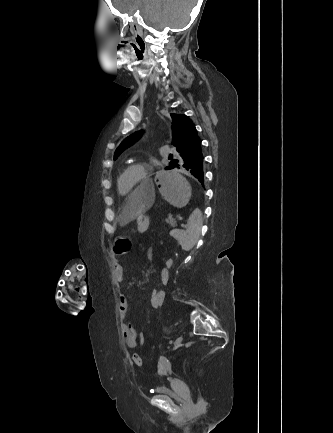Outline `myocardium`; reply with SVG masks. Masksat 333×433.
Returning <instances> with one entry per match:
<instances>
[{
  "label": "myocardium",
  "mask_w": 333,
  "mask_h": 433,
  "mask_svg": "<svg viewBox=\"0 0 333 433\" xmlns=\"http://www.w3.org/2000/svg\"><path fill=\"white\" fill-rule=\"evenodd\" d=\"M131 171H138L139 176L137 180L131 185L127 190V195L132 193L138 186L144 184L146 182L148 165L145 163H135L129 165L118 177L117 179V187L120 183H122L123 178Z\"/></svg>",
  "instance_id": "myocardium-1"
}]
</instances>
